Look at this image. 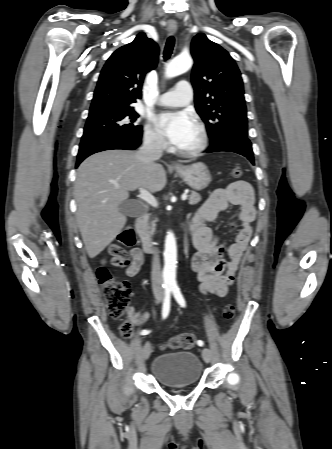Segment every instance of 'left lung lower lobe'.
<instances>
[{
    "mask_svg": "<svg viewBox=\"0 0 332 449\" xmlns=\"http://www.w3.org/2000/svg\"><path fill=\"white\" fill-rule=\"evenodd\" d=\"M229 151L241 154L247 157L252 164H254V154L252 151V144L247 136L231 135L211 144L206 152Z\"/></svg>",
    "mask_w": 332,
    "mask_h": 449,
    "instance_id": "0a47b994",
    "label": "left lung lower lobe"
}]
</instances>
